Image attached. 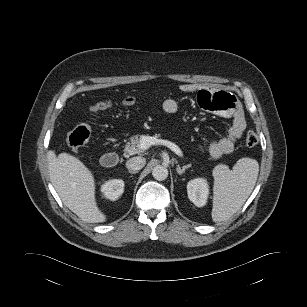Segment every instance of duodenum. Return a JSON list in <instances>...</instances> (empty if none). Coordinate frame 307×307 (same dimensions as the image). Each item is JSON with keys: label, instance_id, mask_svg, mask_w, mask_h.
Returning <instances> with one entry per match:
<instances>
[{"label": "duodenum", "instance_id": "obj_1", "mask_svg": "<svg viewBox=\"0 0 307 307\" xmlns=\"http://www.w3.org/2000/svg\"><path fill=\"white\" fill-rule=\"evenodd\" d=\"M118 162H119V156L115 152L105 153L101 157V163L105 168H113L118 164Z\"/></svg>", "mask_w": 307, "mask_h": 307}]
</instances>
